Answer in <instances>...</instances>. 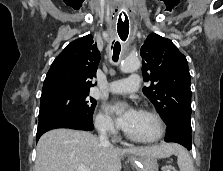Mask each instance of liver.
Listing matches in <instances>:
<instances>
[{
    "label": "liver",
    "mask_w": 223,
    "mask_h": 171,
    "mask_svg": "<svg viewBox=\"0 0 223 171\" xmlns=\"http://www.w3.org/2000/svg\"><path fill=\"white\" fill-rule=\"evenodd\" d=\"M174 151L175 144L166 143L121 149L102 144L86 131L55 129L46 132L38 141L35 171H77L78 164L91 171H120L125 154L167 158Z\"/></svg>",
    "instance_id": "obj_1"
}]
</instances>
